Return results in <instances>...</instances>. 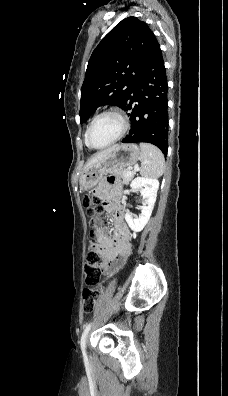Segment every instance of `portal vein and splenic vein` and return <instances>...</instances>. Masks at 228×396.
Listing matches in <instances>:
<instances>
[{
	"label": "portal vein and splenic vein",
	"mask_w": 228,
	"mask_h": 396,
	"mask_svg": "<svg viewBox=\"0 0 228 396\" xmlns=\"http://www.w3.org/2000/svg\"><path fill=\"white\" fill-rule=\"evenodd\" d=\"M138 169V167H135V170H137ZM132 174V172L131 171H128L127 172V175H131Z\"/></svg>",
	"instance_id": "1"
}]
</instances>
